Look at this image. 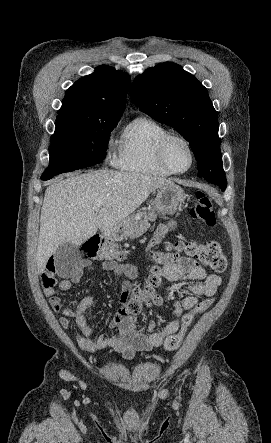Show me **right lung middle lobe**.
Returning a JSON list of instances; mask_svg holds the SVG:
<instances>
[{
  "label": "right lung middle lobe",
  "mask_w": 271,
  "mask_h": 443,
  "mask_svg": "<svg viewBox=\"0 0 271 443\" xmlns=\"http://www.w3.org/2000/svg\"><path fill=\"white\" fill-rule=\"evenodd\" d=\"M119 120L120 116L88 118L61 108L51 142L49 166L42 175L74 171L102 162L109 135Z\"/></svg>",
  "instance_id": "dd1d6c3e"
}]
</instances>
